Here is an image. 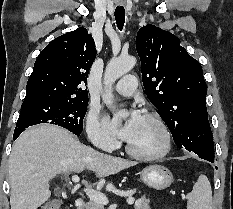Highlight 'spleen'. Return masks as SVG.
I'll return each mask as SVG.
<instances>
[{
    "instance_id": "1",
    "label": "spleen",
    "mask_w": 233,
    "mask_h": 209,
    "mask_svg": "<svg viewBox=\"0 0 233 209\" xmlns=\"http://www.w3.org/2000/svg\"><path fill=\"white\" fill-rule=\"evenodd\" d=\"M187 209H212V190L208 178L200 175L188 196Z\"/></svg>"
}]
</instances>
